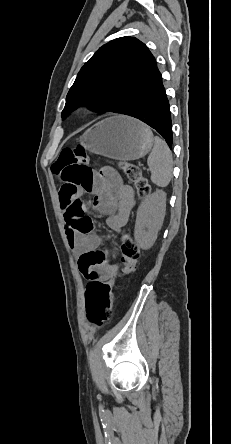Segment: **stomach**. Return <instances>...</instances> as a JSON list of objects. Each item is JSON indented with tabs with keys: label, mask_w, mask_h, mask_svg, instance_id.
Returning <instances> with one entry per match:
<instances>
[{
	"label": "stomach",
	"mask_w": 231,
	"mask_h": 444,
	"mask_svg": "<svg viewBox=\"0 0 231 444\" xmlns=\"http://www.w3.org/2000/svg\"><path fill=\"white\" fill-rule=\"evenodd\" d=\"M79 142L89 152L131 161L145 156L151 150L154 138L151 130L139 120L116 115L93 125Z\"/></svg>",
	"instance_id": "stomach-1"
}]
</instances>
